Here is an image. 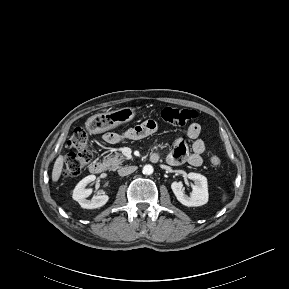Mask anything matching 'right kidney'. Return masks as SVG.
Instances as JSON below:
<instances>
[{"label":"right kidney","mask_w":289,"mask_h":289,"mask_svg":"<svg viewBox=\"0 0 289 289\" xmlns=\"http://www.w3.org/2000/svg\"><path fill=\"white\" fill-rule=\"evenodd\" d=\"M95 175H89L83 178L74 188L72 198L79 203L84 209H96L104 206L109 197L107 195L94 196L91 200L86 199L91 195L92 189L86 188V186L95 181Z\"/></svg>","instance_id":"right-kidney-1"}]
</instances>
